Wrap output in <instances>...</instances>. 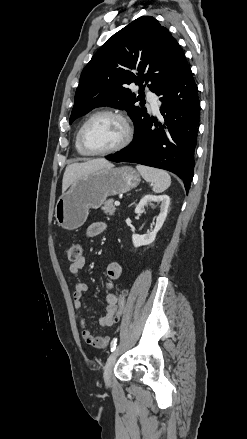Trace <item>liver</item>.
Instances as JSON below:
<instances>
[{
    "label": "liver",
    "mask_w": 247,
    "mask_h": 439,
    "mask_svg": "<svg viewBox=\"0 0 247 439\" xmlns=\"http://www.w3.org/2000/svg\"><path fill=\"white\" fill-rule=\"evenodd\" d=\"M112 163L103 158L88 160L83 163H73L66 167L62 180V193L78 178L93 173L104 167H111Z\"/></svg>",
    "instance_id": "1"
}]
</instances>
